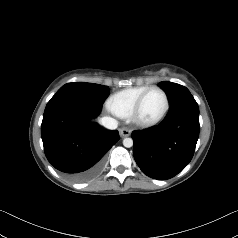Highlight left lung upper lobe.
I'll use <instances>...</instances> for the list:
<instances>
[{"label":"left lung upper lobe","mask_w":238,"mask_h":238,"mask_svg":"<svg viewBox=\"0 0 238 238\" xmlns=\"http://www.w3.org/2000/svg\"><path fill=\"white\" fill-rule=\"evenodd\" d=\"M160 85L167 91L171 104L185 95H189V90L179 84L163 81Z\"/></svg>","instance_id":"left-lung-upper-lobe-1"}]
</instances>
